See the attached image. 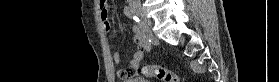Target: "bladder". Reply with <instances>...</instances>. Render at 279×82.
<instances>
[{"label": "bladder", "mask_w": 279, "mask_h": 82, "mask_svg": "<svg viewBox=\"0 0 279 82\" xmlns=\"http://www.w3.org/2000/svg\"><path fill=\"white\" fill-rule=\"evenodd\" d=\"M119 82H150L146 80L145 78L135 76V77H129L125 79H120Z\"/></svg>", "instance_id": "1"}]
</instances>
